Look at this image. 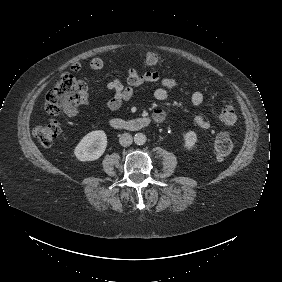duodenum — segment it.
<instances>
[{"mask_svg":"<svg viewBox=\"0 0 282 282\" xmlns=\"http://www.w3.org/2000/svg\"><path fill=\"white\" fill-rule=\"evenodd\" d=\"M155 115L158 116H152V118L147 117V116H142L134 119H130L128 121H124L121 119H111L109 124L111 127L116 128V129H121V128H127V129H140L148 126L151 123V120L160 122L163 121L165 118V115L163 112L156 113Z\"/></svg>","mask_w":282,"mask_h":282,"instance_id":"duodenum-1","label":"duodenum"}]
</instances>
